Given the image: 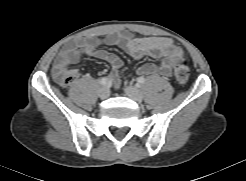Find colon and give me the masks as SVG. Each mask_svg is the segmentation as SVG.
Masks as SVG:
<instances>
[{
	"instance_id": "1",
	"label": "colon",
	"mask_w": 246,
	"mask_h": 181,
	"mask_svg": "<svg viewBox=\"0 0 246 181\" xmlns=\"http://www.w3.org/2000/svg\"><path fill=\"white\" fill-rule=\"evenodd\" d=\"M55 78L62 86L71 85L76 79V72L73 70H59L54 72ZM190 70L185 58H180L174 66V77L178 84L185 85L188 82Z\"/></svg>"
}]
</instances>
